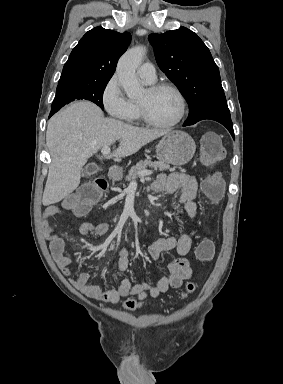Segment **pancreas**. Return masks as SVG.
<instances>
[{"label":"pancreas","mask_w":283,"mask_h":384,"mask_svg":"<svg viewBox=\"0 0 283 384\" xmlns=\"http://www.w3.org/2000/svg\"><path fill=\"white\" fill-rule=\"evenodd\" d=\"M146 168H154V170H159V172L170 170L169 164H165V162H151V160H144V162H137L136 166H132L128 176L125 178L126 182L137 180L140 172H144ZM119 170H122V168H119Z\"/></svg>","instance_id":"obj_1"}]
</instances>
